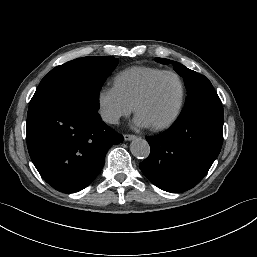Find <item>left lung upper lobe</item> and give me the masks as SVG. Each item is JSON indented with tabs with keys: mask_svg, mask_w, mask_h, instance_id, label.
Returning <instances> with one entry per match:
<instances>
[{
	"mask_svg": "<svg viewBox=\"0 0 257 257\" xmlns=\"http://www.w3.org/2000/svg\"><path fill=\"white\" fill-rule=\"evenodd\" d=\"M161 64H172L174 70L184 78L188 96L181 113L189 112L205 103L220 99L211 82L203 75L188 69L184 65L164 58H155Z\"/></svg>",
	"mask_w": 257,
	"mask_h": 257,
	"instance_id": "left-lung-upper-lobe-1",
	"label": "left lung upper lobe"
}]
</instances>
